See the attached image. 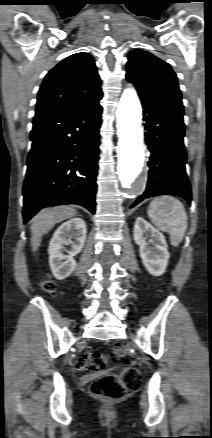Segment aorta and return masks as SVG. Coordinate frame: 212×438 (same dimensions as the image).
<instances>
[{
	"label": "aorta",
	"instance_id": "aorta-1",
	"mask_svg": "<svg viewBox=\"0 0 212 438\" xmlns=\"http://www.w3.org/2000/svg\"><path fill=\"white\" fill-rule=\"evenodd\" d=\"M118 143L117 171L122 186L131 188L144 166L142 109L136 91L124 90L116 111Z\"/></svg>",
	"mask_w": 212,
	"mask_h": 438
}]
</instances>
